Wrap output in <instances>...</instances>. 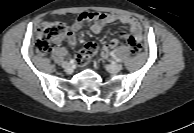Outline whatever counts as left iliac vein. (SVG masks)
<instances>
[{
    "label": "left iliac vein",
    "instance_id": "left-iliac-vein-1",
    "mask_svg": "<svg viewBox=\"0 0 194 133\" xmlns=\"http://www.w3.org/2000/svg\"><path fill=\"white\" fill-rule=\"evenodd\" d=\"M107 71H109L110 73H117L119 71H121L123 69V65L122 64H109L106 66Z\"/></svg>",
    "mask_w": 194,
    "mask_h": 133
}]
</instances>
